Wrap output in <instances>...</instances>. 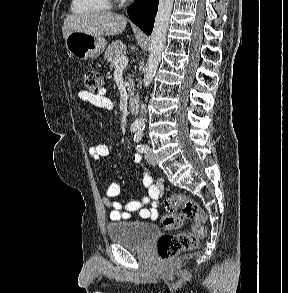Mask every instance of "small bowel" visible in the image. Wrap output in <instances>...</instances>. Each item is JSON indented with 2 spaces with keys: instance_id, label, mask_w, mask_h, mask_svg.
<instances>
[{
  "instance_id": "small-bowel-1",
  "label": "small bowel",
  "mask_w": 288,
  "mask_h": 293,
  "mask_svg": "<svg viewBox=\"0 0 288 293\" xmlns=\"http://www.w3.org/2000/svg\"><path fill=\"white\" fill-rule=\"evenodd\" d=\"M79 98L92 104L93 106L108 111L114 110V103L107 96L106 90L102 89L98 93H92L87 90H81L78 93ZM89 154L95 161H100L109 154V147L106 144L91 145L89 147ZM131 161L140 166L142 170V182L147 191V195L141 200H132L122 205L114 198L120 193V186L117 183H110L104 190V202L110 209V220H130L132 214L136 211L142 219L155 220L158 218V202L161 198V191L154 183L150 169L144 164L140 154H134ZM150 206V207H147Z\"/></svg>"
}]
</instances>
